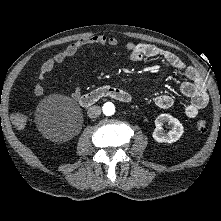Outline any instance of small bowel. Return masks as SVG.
I'll return each instance as SVG.
<instances>
[{
	"mask_svg": "<svg viewBox=\"0 0 221 221\" xmlns=\"http://www.w3.org/2000/svg\"><path fill=\"white\" fill-rule=\"evenodd\" d=\"M118 43V39L114 36L106 37L104 35H94L69 44L66 48L47 59L41 65L33 88L34 94L36 96H42L45 91L43 85L45 77L54 70L56 65L61 64L67 58L75 56L82 48L91 45H109L111 47H116ZM126 48L129 52V58L133 62H138L145 58H162L172 68L185 74L187 81L181 84L180 90L184 96L189 98V101L184 106L185 114L188 117H195L201 109L208 105L209 96L207 94L206 84L199 72L194 67L185 65L176 54L156 45L145 43L130 42L126 45ZM80 93V88H76L72 95L74 98H77ZM154 103L159 108L167 109L173 105L174 100L171 96L162 94L155 97Z\"/></svg>",
	"mask_w": 221,
	"mask_h": 221,
	"instance_id": "c3829d8e",
	"label": "small bowel"
}]
</instances>
